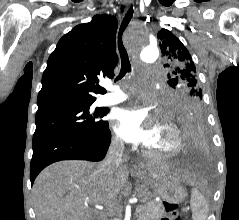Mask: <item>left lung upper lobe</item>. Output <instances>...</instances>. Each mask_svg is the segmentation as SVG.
Wrapping results in <instances>:
<instances>
[{
	"instance_id": "left-lung-upper-lobe-1",
	"label": "left lung upper lobe",
	"mask_w": 239,
	"mask_h": 220,
	"mask_svg": "<svg viewBox=\"0 0 239 220\" xmlns=\"http://www.w3.org/2000/svg\"><path fill=\"white\" fill-rule=\"evenodd\" d=\"M157 37L166 63L168 104L167 111L175 116L189 107H202V90L192 57L181 41L170 31L161 29Z\"/></svg>"
}]
</instances>
